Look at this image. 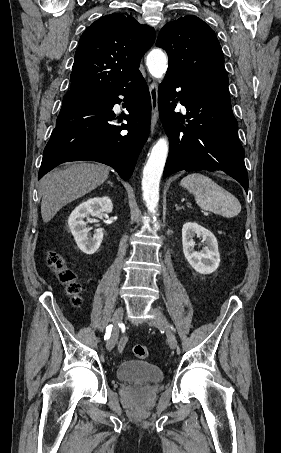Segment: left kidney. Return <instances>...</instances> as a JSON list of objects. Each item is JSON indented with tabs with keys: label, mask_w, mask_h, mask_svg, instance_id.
I'll use <instances>...</instances> for the list:
<instances>
[{
	"label": "left kidney",
	"mask_w": 281,
	"mask_h": 453,
	"mask_svg": "<svg viewBox=\"0 0 281 453\" xmlns=\"http://www.w3.org/2000/svg\"><path fill=\"white\" fill-rule=\"evenodd\" d=\"M195 235L202 237V241H205L206 247L200 253L194 251L195 243L193 237ZM182 245L185 259L197 273L209 275V273H214L218 269L220 255L217 239L211 231L201 227V224H197V222H185L183 224Z\"/></svg>",
	"instance_id": "left-kidney-1"
}]
</instances>
